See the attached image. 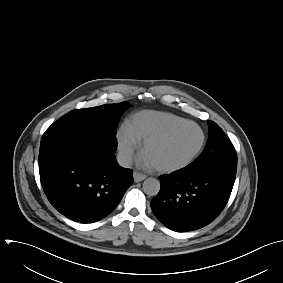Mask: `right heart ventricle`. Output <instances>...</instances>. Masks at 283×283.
<instances>
[{"label": "right heart ventricle", "instance_id": "e07e8e85", "mask_svg": "<svg viewBox=\"0 0 283 283\" xmlns=\"http://www.w3.org/2000/svg\"><path fill=\"white\" fill-rule=\"evenodd\" d=\"M183 120L185 119L169 112L143 110L130 115L125 120L124 129L139 143Z\"/></svg>", "mask_w": 283, "mask_h": 283}]
</instances>
